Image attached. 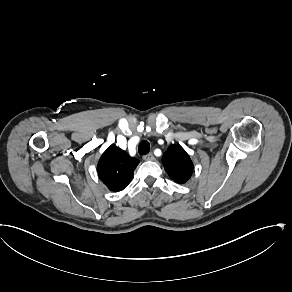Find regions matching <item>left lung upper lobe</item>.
Listing matches in <instances>:
<instances>
[{
	"instance_id": "obj_1",
	"label": "left lung upper lobe",
	"mask_w": 292,
	"mask_h": 292,
	"mask_svg": "<svg viewBox=\"0 0 292 292\" xmlns=\"http://www.w3.org/2000/svg\"><path fill=\"white\" fill-rule=\"evenodd\" d=\"M162 163L169 177L178 184L186 183L192 175L193 163L180 145L169 146Z\"/></svg>"
}]
</instances>
